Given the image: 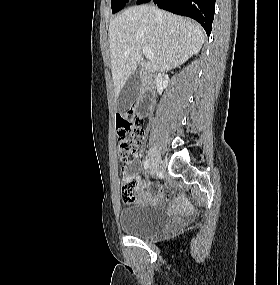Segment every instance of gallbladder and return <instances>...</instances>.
<instances>
[{
  "label": "gallbladder",
  "mask_w": 280,
  "mask_h": 285,
  "mask_svg": "<svg viewBox=\"0 0 280 285\" xmlns=\"http://www.w3.org/2000/svg\"><path fill=\"white\" fill-rule=\"evenodd\" d=\"M142 87V77L138 73L131 75L121 89L117 98V111L127 110L138 98Z\"/></svg>",
  "instance_id": "gallbladder-1"
}]
</instances>
